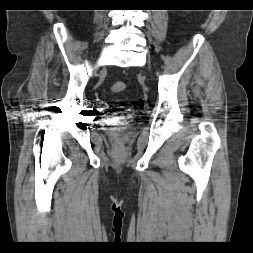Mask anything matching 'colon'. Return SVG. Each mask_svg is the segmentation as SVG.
<instances>
[{"instance_id":"1","label":"colon","mask_w":253,"mask_h":253,"mask_svg":"<svg viewBox=\"0 0 253 253\" xmlns=\"http://www.w3.org/2000/svg\"><path fill=\"white\" fill-rule=\"evenodd\" d=\"M125 90V84L121 81L115 82L112 86H111V91L113 93H121Z\"/></svg>"}]
</instances>
